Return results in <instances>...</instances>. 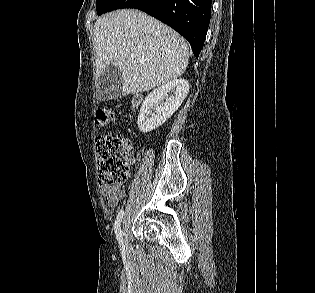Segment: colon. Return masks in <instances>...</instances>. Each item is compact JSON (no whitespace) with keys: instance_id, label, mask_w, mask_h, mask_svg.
I'll list each match as a JSON object with an SVG mask.
<instances>
[{"instance_id":"obj_1","label":"colon","mask_w":315,"mask_h":293,"mask_svg":"<svg viewBox=\"0 0 315 293\" xmlns=\"http://www.w3.org/2000/svg\"><path fill=\"white\" fill-rule=\"evenodd\" d=\"M118 118V113L109 109H98L95 123L103 127ZM131 141L123 135H102L96 138L95 153L101 183L122 185L130 173Z\"/></svg>"}]
</instances>
